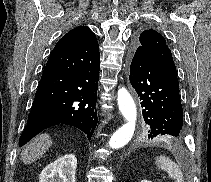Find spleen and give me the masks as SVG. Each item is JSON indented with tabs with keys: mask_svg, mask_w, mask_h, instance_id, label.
Listing matches in <instances>:
<instances>
[{
	"mask_svg": "<svg viewBox=\"0 0 211 182\" xmlns=\"http://www.w3.org/2000/svg\"><path fill=\"white\" fill-rule=\"evenodd\" d=\"M156 164L159 169L165 171L175 182H184L183 173L179 166L170 158L160 155L157 157Z\"/></svg>",
	"mask_w": 211,
	"mask_h": 182,
	"instance_id": "spleen-1",
	"label": "spleen"
}]
</instances>
